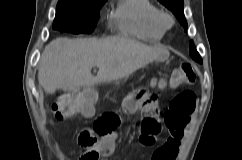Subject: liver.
<instances>
[{
  "instance_id": "liver-1",
  "label": "liver",
  "mask_w": 242,
  "mask_h": 160,
  "mask_svg": "<svg viewBox=\"0 0 242 160\" xmlns=\"http://www.w3.org/2000/svg\"><path fill=\"white\" fill-rule=\"evenodd\" d=\"M170 53L125 37L104 39L57 38L44 49L38 81L45 92L72 91L83 86L117 81L153 61L163 62ZM98 67L96 76L91 69Z\"/></svg>"
}]
</instances>
